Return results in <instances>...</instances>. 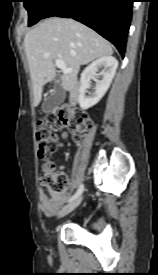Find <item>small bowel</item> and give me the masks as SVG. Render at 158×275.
Masks as SVG:
<instances>
[{
	"instance_id": "small-bowel-1",
	"label": "small bowel",
	"mask_w": 158,
	"mask_h": 275,
	"mask_svg": "<svg viewBox=\"0 0 158 275\" xmlns=\"http://www.w3.org/2000/svg\"><path fill=\"white\" fill-rule=\"evenodd\" d=\"M62 138L66 139L67 134L63 133ZM60 145H61V143H59V146ZM45 164L43 165V170L45 169ZM66 196L67 195H64L61 200L55 201V200L49 199L47 194L45 192L41 191L40 192V202H41V208H42L43 214L47 217H52L59 210V208L65 201Z\"/></svg>"
}]
</instances>
